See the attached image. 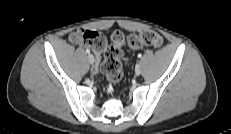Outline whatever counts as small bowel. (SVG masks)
<instances>
[{
  "mask_svg": "<svg viewBox=\"0 0 231 134\" xmlns=\"http://www.w3.org/2000/svg\"><path fill=\"white\" fill-rule=\"evenodd\" d=\"M76 32H77V31H75L74 33H72V34L70 35L69 40H70V42H72V43L78 44V43H80V42L76 39Z\"/></svg>",
  "mask_w": 231,
  "mask_h": 134,
  "instance_id": "1",
  "label": "small bowel"
}]
</instances>
